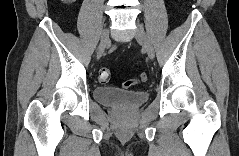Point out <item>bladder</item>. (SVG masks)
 <instances>
[{
  "instance_id": "obj_1",
  "label": "bladder",
  "mask_w": 239,
  "mask_h": 156,
  "mask_svg": "<svg viewBox=\"0 0 239 156\" xmlns=\"http://www.w3.org/2000/svg\"><path fill=\"white\" fill-rule=\"evenodd\" d=\"M95 100L105 105H125L138 107L149 99L147 90L124 91L110 86H101L94 89Z\"/></svg>"
}]
</instances>
